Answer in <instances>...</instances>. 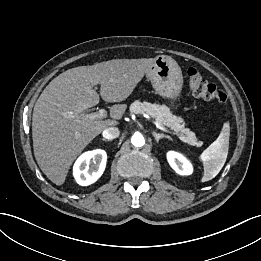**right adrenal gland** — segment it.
Masks as SVG:
<instances>
[{"mask_svg": "<svg viewBox=\"0 0 261 261\" xmlns=\"http://www.w3.org/2000/svg\"><path fill=\"white\" fill-rule=\"evenodd\" d=\"M102 140L105 141V142H109V141H111V140H106V139H104V138H103Z\"/></svg>", "mask_w": 261, "mask_h": 261, "instance_id": "right-adrenal-gland-1", "label": "right adrenal gland"}]
</instances>
